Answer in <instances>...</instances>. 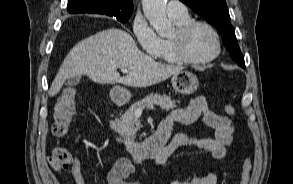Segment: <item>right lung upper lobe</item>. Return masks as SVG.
Masks as SVG:
<instances>
[{"instance_id":"obj_1","label":"right lung upper lobe","mask_w":293,"mask_h":184,"mask_svg":"<svg viewBox=\"0 0 293 184\" xmlns=\"http://www.w3.org/2000/svg\"><path fill=\"white\" fill-rule=\"evenodd\" d=\"M133 0H69L67 10L71 14L89 13L107 16L131 15Z\"/></svg>"}]
</instances>
